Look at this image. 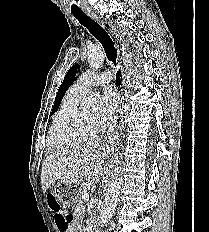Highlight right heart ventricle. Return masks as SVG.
Instances as JSON below:
<instances>
[{
    "instance_id": "e07e8e85",
    "label": "right heart ventricle",
    "mask_w": 209,
    "mask_h": 232,
    "mask_svg": "<svg viewBox=\"0 0 209 232\" xmlns=\"http://www.w3.org/2000/svg\"><path fill=\"white\" fill-rule=\"evenodd\" d=\"M82 98L73 95L70 90L66 93L48 132L47 147L49 150H60L80 141L66 137L62 130L67 118L78 109Z\"/></svg>"
}]
</instances>
